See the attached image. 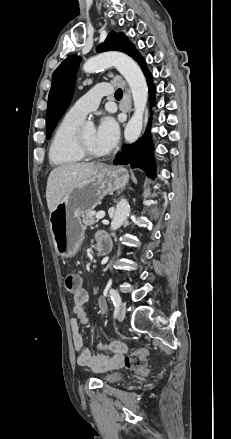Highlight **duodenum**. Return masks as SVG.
Instances as JSON below:
<instances>
[{"label": "duodenum", "mask_w": 231, "mask_h": 439, "mask_svg": "<svg viewBox=\"0 0 231 439\" xmlns=\"http://www.w3.org/2000/svg\"><path fill=\"white\" fill-rule=\"evenodd\" d=\"M112 244L108 237L101 238L97 241V252L100 255H106L111 251Z\"/></svg>", "instance_id": "410a0bca"}]
</instances>
